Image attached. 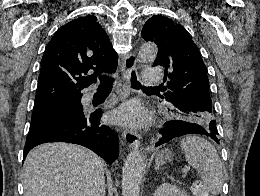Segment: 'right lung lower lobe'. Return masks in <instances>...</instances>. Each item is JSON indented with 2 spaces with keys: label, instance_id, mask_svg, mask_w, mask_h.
<instances>
[{
  "label": "right lung lower lobe",
  "instance_id": "right-lung-lower-lobe-1",
  "mask_svg": "<svg viewBox=\"0 0 260 196\" xmlns=\"http://www.w3.org/2000/svg\"><path fill=\"white\" fill-rule=\"evenodd\" d=\"M81 97H77L80 100ZM74 106L75 104H71ZM100 109L87 113L86 117L74 122L57 124L28 133L23 160L35 146L46 142H68L85 146L112 164L118 157L117 133L100 122Z\"/></svg>",
  "mask_w": 260,
  "mask_h": 196
}]
</instances>
